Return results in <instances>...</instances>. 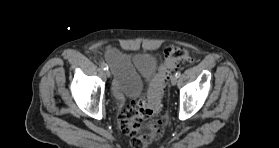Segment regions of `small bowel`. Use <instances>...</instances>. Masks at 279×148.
<instances>
[{
	"label": "small bowel",
	"mask_w": 279,
	"mask_h": 148,
	"mask_svg": "<svg viewBox=\"0 0 279 148\" xmlns=\"http://www.w3.org/2000/svg\"><path fill=\"white\" fill-rule=\"evenodd\" d=\"M107 61L112 65L115 73L113 91L120 105L124 103L122 92L136 97L142 90V80L136 71L119 52L111 50L106 54Z\"/></svg>",
	"instance_id": "small-bowel-1"
}]
</instances>
